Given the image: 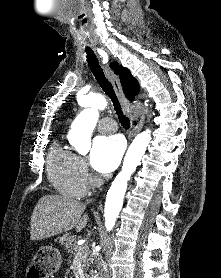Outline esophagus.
Wrapping results in <instances>:
<instances>
[{
    "mask_svg": "<svg viewBox=\"0 0 221 278\" xmlns=\"http://www.w3.org/2000/svg\"><path fill=\"white\" fill-rule=\"evenodd\" d=\"M117 64H118L117 62L106 63L103 65V69H104L106 77L110 80V82L121 102V105H122L124 111L128 114V116L131 119H139L136 127H134L132 130V136H133L136 134V132H138L142 128L145 116L141 110L134 111L131 109V104L123 93L121 83L119 81V76L113 70V68L116 67Z\"/></svg>",
    "mask_w": 221,
    "mask_h": 278,
    "instance_id": "obj_1",
    "label": "esophagus"
}]
</instances>
